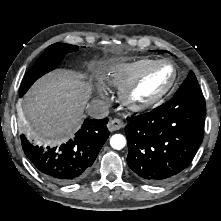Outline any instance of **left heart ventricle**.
I'll use <instances>...</instances> for the list:
<instances>
[{"mask_svg": "<svg viewBox=\"0 0 221 221\" xmlns=\"http://www.w3.org/2000/svg\"><path fill=\"white\" fill-rule=\"evenodd\" d=\"M170 77V72L167 68L158 67L154 69L139 85L135 92L138 98H147L163 88Z\"/></svg>", "mask_w": 221, "mask_h": 221, "instance_id": "left-heart-ventricle-1", "label": "left heart ventricle"}]
</instances>
